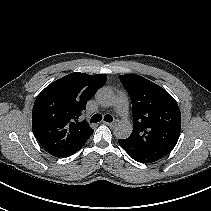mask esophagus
I'll return each mask as SVG.
<instances>
[{
    "instance_id": "34e87169",
    "label": "esophagus",
    "mask_w": 211,
    "mask_h": 211,
    "mask_svg": "<svg viewBox=\"0 0 211 211\" xmlns=\"http://www.w3.org/2000/svg\"><path fill=\"white\" fill-rule=\"evenodd\" d=\"M104 124H106V125H108V126H110V127H115L116 125H117V123L116 122H104Z\"/></svg>"
}]
</instances>
